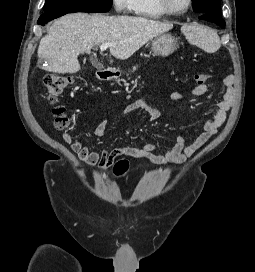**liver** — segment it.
I'll return each mask as SVG.
<instances>
[{
  "instance_id": "liver-1",
  "label": "liver",
  "mask_w": 255,
  "mask_h": 272,
  "mask_svg": "<svg viewBox=\"0 0 255 272\" xmlns=\"http://www.w3.org/2000/svg\"><path fill=\"white\" fill-rule=\"evenodd\" d=\"M173 28L172 23L144 17L105 16L72 13L50 26L38 47L42 69L55 73H76L80 70L78 55L91 53L101 43H112L110 53L126 60L152 38Z\"/></svg>"
}]
</instances>
